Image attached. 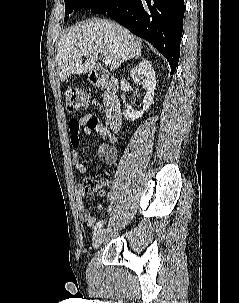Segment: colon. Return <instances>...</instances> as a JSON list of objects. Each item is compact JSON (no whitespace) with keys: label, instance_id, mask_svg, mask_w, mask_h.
Wrapping results in <instances>:
<instances>
[{"label":"colon","instance_id":"5ec220e1","mask_svg":"<svg viewBox=\"0 0 239 303\" xmlns=\"http://www.w3.org/2000/svg\"><path fill=\"white\" fill-rule=\"evenodd\" d=\"M65 104L68 113L75 114L87 108L88 97L82 90L69 87L65 91ZM85 186L90 192L94 193L99 191V185L95 181L88 180L85 182Z\"/></svg>","mask_w":239,"mask_h":303}]
</instances>
